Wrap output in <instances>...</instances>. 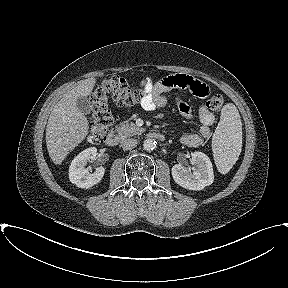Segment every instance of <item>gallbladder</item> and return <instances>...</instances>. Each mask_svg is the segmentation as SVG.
<instances>
[{
    "mask_svg": "<svg viewBox=\"0 0 288 288\" xmlns=\"http://www.w3.org/2000/svg\"><path fill=\"white\" fill-rule=\"evenodd\" d=\"M76 106L84 114H89L91 112V104L86 97H79Z\"/></svg>",
    "mask_w": 288,
    "mask_h": 288,
    "instance_id": "1",
    "label": "gallbladder"
}]
</instances>
